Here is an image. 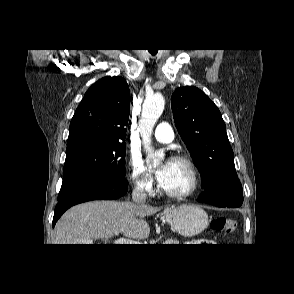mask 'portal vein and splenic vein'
I'll use <instances>...</instances> for the list:
<instances>
[{"instance_id":"obj_1","label":"portal vein and splenic vein","mask_w":294,"mask_h":294,"mask_svg":"<svg viewBox=\"0 0 294 294\" xmlns=\"http://www.w3.org/2000/svg\"><path fill=\"white\" fill-rule=\"evenodd\" d=\"M114 244L129 245V244H140V243L131 239H125L120 237L114 241Z\"/></svg>"}]
</instances>
